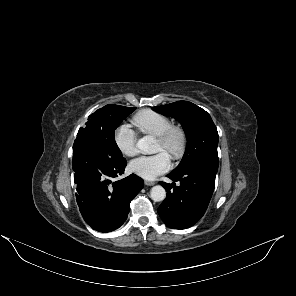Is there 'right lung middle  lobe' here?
Listing matches in <instances>:
<instances>
[{
  "mask_svg": "<svg viewBox=\"0 0 296 296\" xmlns=\"http://www.w3.org/2000/svg\"><path fill=\"white\" fill-rule=\"evenodd\" d=\"M135 108L106 105L88 117L85 128H80L78 140L94 142L108 150L115 159H122V153L115 142V129Z\"/></svg>",
  "mask_w": 296,
  "mask_h": 296,
  "instance_id": "dd1d6c3e",
  "label": "right lung middle lobe"
}]
</instances>
